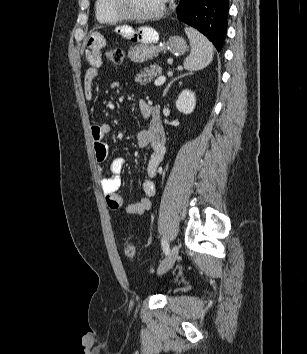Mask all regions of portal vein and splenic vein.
<instances>
[{
  "mask_svg": "<svg viewBox=\"0 0 307 354\" xmlns=\"http://www.w3.org/2000/svg\"><path fill=\"white\" fill-rule=\"evenodd\" d=\"M165 81H166V77H165V76H159V77L155 80L154 84H155L156 86H160V85H162Z\"/></svg>",
  "mask_w": 307,
  "mask_h": 354,
  "instance_id": "portal-vein-and-splenic-vein-1",
  "label": "portal vein and splenic vein"
}]
</instances>
